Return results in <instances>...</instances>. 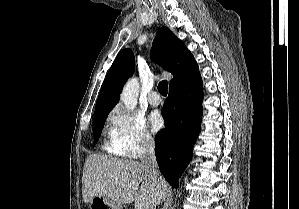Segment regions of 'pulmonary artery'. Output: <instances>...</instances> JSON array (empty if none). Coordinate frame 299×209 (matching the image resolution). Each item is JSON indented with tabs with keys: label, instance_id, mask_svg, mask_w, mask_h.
I'll list each match as a JSON object with an SVG mask.
<instances>
[{
	"label": "pulmonary artery",
	"instance_id": "1",
	"mask_svg": "<svg viewBox=\"0 0 299 209\" xmlns=\"http://www.w3.org/2000/svg\"><path fill=\"white\" fill-rule=\"evenodd\" d=\"M148 102L153 106L161 104L162 100L157 91H152L148 96Z\"/></svg>",
	"mask_w": 299,
	"mask_h": 209
}]
</instances>
